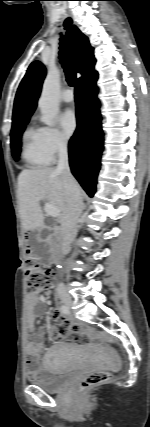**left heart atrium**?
<instances>
[{"label":"left heart atrium","mask_w":150,"mask_h":427,"mask_svg":"<svg viewBox=\"0 0 150 427\" xmlns=\"http://www.w3.org/2000/svg\"><path fill=\"white\" fill-rule=\"evenodd\" d=\"M61 127L67 137L71 136L77 128V119L73 110H65L60 117Z\"/></svg>","instance_id":"1"}]
</instances>
